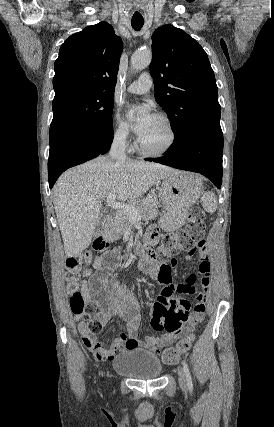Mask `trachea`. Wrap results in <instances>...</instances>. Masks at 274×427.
Masks as SVG:
<instances>
[{"label": "trachea", "instance_id": "trachea-1", "mask_svg": "<svg viewBox=\"0 0 274 427\" xmlns=\"http://www.w3.org/2000/svg\"><path fill=\"white\" fill-rule=\"evenodd\" d=\"M131 25L134 30L139 31L141 30L142 26L144 25V19L143 18H132Z\"/></svg>", "mask_w": 274, "mask_h": 427}]
</instances>
